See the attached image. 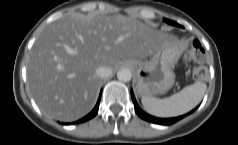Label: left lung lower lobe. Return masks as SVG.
I'll return each mask as SVG.
<instances>
[{"label":"left lung lower lobe","mask_w":238,"mask_h":145,"mask_svg":"<svg viewBox=\"0 0 238 145\" xmlns=\"http://www.w3.org/2000/svg\"><path fill=\"white\" fill-rule=\"evenodd\" d=\"M131 97H132V101L134 103V107H135V111H136L137 115L139 117H141L143 120H146V121H149L152 123H156V124H160V125H171V124H174L175 122L179 121L180 119H182L185 116L184 115V116L168 118V119H161V118L153 117L140 109V107L138 106V104L136 102V99L134 97V93L132 90H131ZM193 111H191V112H193Z\"/></svg>","instance_id":"left-lung-lower-lobe-1"}]
</instances>
